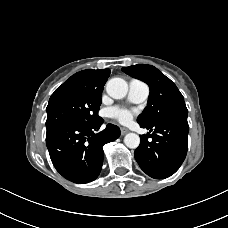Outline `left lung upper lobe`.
Instances as JSON below:
<instances>
[{
	"instance_id": "obj_1",
	"label": "left lung upper lobe",
	"mask_w": 228,
	"mask_h": 228,
	"mask_svg": "<svg viewBox=\"0 0 228 228\" xmlns=\"http://www.w3.org/2000/svg\"><path fill=\"white\" fill-rule=\"evenodd\" d=\"M122 71L149 85L147 106L137 118L140 125L152 126L159 121L188 114L184 97L176 85L154 66L138 64L124 67Z\"/></svg>"
}]
</instances>
